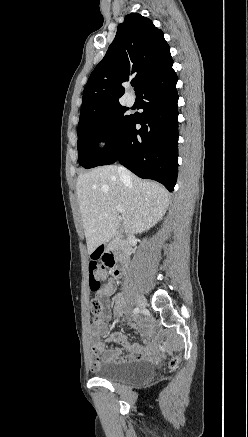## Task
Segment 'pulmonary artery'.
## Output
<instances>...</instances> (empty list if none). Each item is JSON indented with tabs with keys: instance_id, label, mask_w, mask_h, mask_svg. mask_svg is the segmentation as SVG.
<instances>
[{
	"instance_id": "e3ab8cb5",
	"label": "pulmonary artery",
	"mask_w": 248,
	"mask_h": 437,
	"mask_svg": "<svg viewBox=\"0 0 248 437\" xmlns=\"http://www.w3.org/2000/svg\"><path fill=\"white\" fill-rule=\"evenodd\" d=\"M126 101H127L128 105H133L134 104V97L128 96Z\"/></svg>"
}]
</instances>
